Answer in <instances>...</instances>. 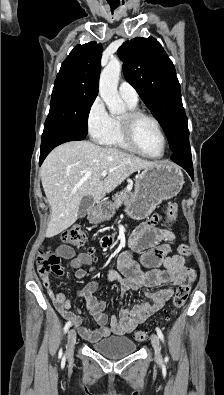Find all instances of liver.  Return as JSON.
<instances>
[{
  "mask_svg": "<svg viewBox=\"0 0 224 395\" xmlns=\"http://www.w3.org/2000/svg\"><path fill=\"white\" fill-rule=\"evenodd\" d=\"M157 163L90 141L58 146L46 157L40 170L51 208L46 237H53L75 223L84 196L99 202L135 171ZM103 171L108 172L106 177L101 176Z\"/></svg>",
  "mask_w": 224,
  "mask_h": 395,
  "instance_id": "obj_1",
  "label": "liver"
}]
</instances>
